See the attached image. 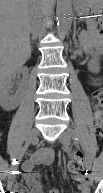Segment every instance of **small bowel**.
Instances as JSON below:
<instances>
[{
  "mask_svg": "<svg viewBox=\"0 0 103 193\" xmlns=\"http://www.w3.org/2000/svg\"><path fill=\"white\" fill-rule=\"evenodd\" d=\"M54 159V153L51 149H42L38 151L31 160H28L23 163V178L26 181L30 192L28 193H44L43 186L39 180V174L35 172L34 168L36 165H49ZM75 180L79 182L78 192L79 193H89L88 188V178L86 175L76 176ZM18 187H24L22 184H16L13 187L12 193H22V191H16ZM26 189V188H25ZM27 190V189H26ZM49 193H61L59 190H50Z\"/></svg>",
  "mask_w": 103,
  "mask_h": 193,
  "instance_id": "obj_1",
  "label": "small bowel"
}]
</instances>
